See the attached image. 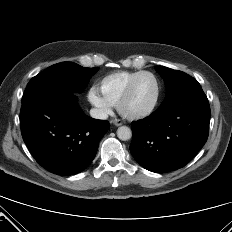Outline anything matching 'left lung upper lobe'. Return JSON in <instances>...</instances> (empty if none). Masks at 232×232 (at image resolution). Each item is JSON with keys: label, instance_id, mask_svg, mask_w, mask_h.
I'll list each match as a JSON object with an SVG mask.
<instances>
[{"label": "left lung upper lobe", "instance_id": "1", "mask_svg": "<svg viewBox=\"0 0 232 232\" xmlns=\"http://www.w3.org/2000/svg\"><path fill=\"white\" fill-rule=\"evenodd\" d=\"M156 70L163 77L167 88L165 100L161 105L166 104L185 92L201 87L196 79L184 72L176 71L164 66H158L156 67Z\"/></svg>", "mask_w": 232, "mask_h": 232}]
</instances>
